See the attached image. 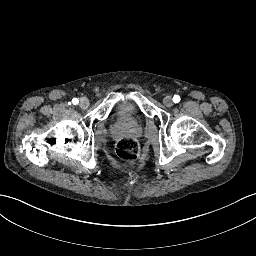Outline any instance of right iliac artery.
I'll use <instances>...</instances> for the list:
<instances>
[{
	"label": "right iliac artery",
	"instance_id": "obj_1",
	"mask_svg": "<svg viewBox=\"0 0 256 256\" xmlns=\"http://www.w3.org/2000/svg\"><path fill=\"white\" fill-rule=\"evenodd\" d=\"M72 103H73L74 105H76V104L79 103V100H78L77 98H73V99H72Z\"/></svg>",
	"mask_w": 256,
	"mask_h": 256
}]
</instances>
